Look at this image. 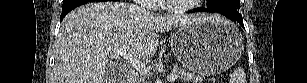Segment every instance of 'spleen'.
Instances as JSON below:
<instances>
[{
	"mask_svg": "<svg viewBox=\"0 0 307 83\" xmlns=\"http://www.w3.org/2000/svg\"><path fill=\"white\" fill-rule=\"evenodd\" d=\"M230 83H247L246 73L244 68L238 67L230 78Z\"/></svg>",
	"mask_w": 307,
	"mask_h": 83,
	"instance_id": "obj_1",
	"label": "spleen"
}]
</instances>
